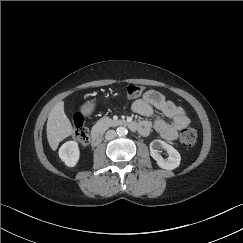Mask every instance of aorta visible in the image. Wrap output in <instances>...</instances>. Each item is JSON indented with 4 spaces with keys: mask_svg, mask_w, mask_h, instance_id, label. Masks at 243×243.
Returning <instances> with one entry per match:
<instances>
[{
    "mask_svg": "<svg viewBox=\"0 0 243 243\" xmlns=\"http://www.w3.org/2000/svg\"><path fill=\"white\" fill-rule=\"evenodd\" d=\"M127 133H128V130H127L125 127L120 126V127L117 128V134H118L119 136H124V135H126Z\"/></svg>",
    "mask_w": 243,
    "mask_h": 243,
    "instance_id": "1",
    "label": "aorta"
}]
</instances>
